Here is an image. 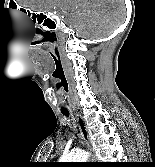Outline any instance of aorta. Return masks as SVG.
<instances>
[{
  "instance_id": "aorta-1",
  "label": "aorta",
  "mask_w": 155,
  "mask_h": 167,
  "mask_svg": "<svg viewBox=\"0 0 155 167\" xmlns=\"http://www.w3.org/2000/svg\"><path fill=\"white\" fill-rule=\"evenodd\" d=\"M88 158V153L84 150L72 151L69 154L63 155L60 160L62 162H85Z\"/></svg>"
}]
</instances>
